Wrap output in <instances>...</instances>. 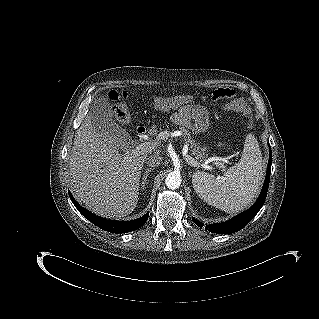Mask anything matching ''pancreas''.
I'll return each instance as SVG.
<instances>
[{"label": "pancreas", "mask_w": 319, "mask_h": 319, "mask_svg": "<svg viewBox=\"0 0 319 319\" xmlns=\"http://www.w3.org/2000/svg\"><path fill=\"white\" fill-rule=\"evenodd\" d=\"M181 132L183 133L182 135V139L188 144L190 145V151L191 154L194 155L197 159H204L206 157V149L201 147V145L192 138V136L190 135V133L188 131H186L185 129H181ZM150 135L152 136H157L158 132L156 127H153L152 129H150L149 131ZM163 138L159 137L158 140H161Z\"/></svg>", "instance_id": "obj_1"}]
</instances>
